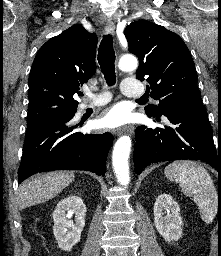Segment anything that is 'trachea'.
<instances>
[{
    "label": "trachea",
    "instance_id": "obj_1",
    "mask_svg": "<svg viewBox=\"0 0 221 256\" xmlns=\"http://www.w3.org/2000/svg\"><path fill=\"white\" fill-rule=\"evenodd\" d=\"M98 62L108 86H113L116 83V75L115 52L113 48V38L111 35H105L100 43L98 50ZM80 96H83V93H80Z\"/></svg>",
    "mask_w": 221,
    "mask_h": 256
}]
</instances>
